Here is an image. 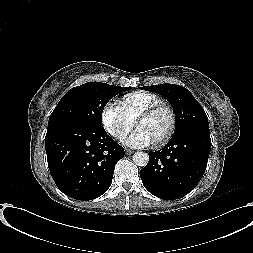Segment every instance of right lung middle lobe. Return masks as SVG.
<instances>
[{"label": "right lung middle lobe", "mask_w": 253, "mask_h": 253, "mask_svg": "<svg viewBox=\"0 0 253 253\" xmlns=\"http://www.w3.org/2000/svg\"><path fill=\"white\" fill-rule=\"evenodd\" d=\"M130 88L87 82L69 90L50 115L48 126L61 122H79L103 128L102 112L108 101Z\"/></svg>", "instance_id": "right-lung-middle-lobe-1"}]
</instances>
